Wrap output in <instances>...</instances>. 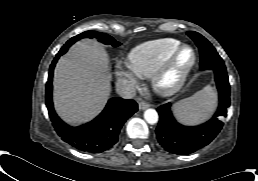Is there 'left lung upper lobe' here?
I'll use <instances>...</instances> for the list:
<instances>
[{
	"mask_svg": "<svg viewBox=\"0 0 258 181\" xmlns=\"http://www.w3.org/2000/svg\"><path fill=\"white\" fill-rule=\"evenodd\" d=\"M186 34L196 43L199 48L201 70H226L222 58L206 38L194 31H189Z\"/></svg>",
	"mask_w": 258,
	"mask_h": 181,
	"instance_id": "left-lung-upper-lobe-1",
	"label": "left lung upper lobe"
}]
</instances>
